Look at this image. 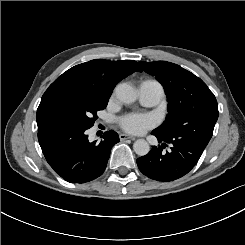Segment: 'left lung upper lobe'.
<instances>
[{
    "label": "left lung upper lobe",
    "mask_w": 245,
    "mask_h": 245,
    "mask_svg": "<svg viewBox=\"0 0 245 245\" xmlns=\"http://www.w3.org/2000/svg\"><path fill=\"white\" fill-rule=\"evenodd\" d=\"M148 74L163 85L168 100V115L157 130L165 135L197 130L207 122L214 126L218 119V104L207 85L179 65L166 62H141Z\"/></svg>",
    "instance_id": "obj_1"
}]
</instances>
